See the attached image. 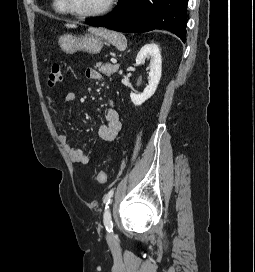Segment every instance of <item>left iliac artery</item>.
Here are the masks:
<instances>
[{
    "mask_svg": "<svg viewBox=\"0 0 255 272\" xmlns=\"http://www.w3.org/2000/svg\"><path fill=\"white\" fill-rule=\"evenodd\" d=\"M114 190L111 189L107 195L104 197V203H105V210H104V215H103V221L105 228L108 232H113V223L111 220V213L109 209V204L111 202V199L113 197Z\"/></svg>",
    "mask_w": 255,
    "mask_h": 272,
    "instance_id": "obj_1",
    "label": "left iliac artery"
}]
</instances>
